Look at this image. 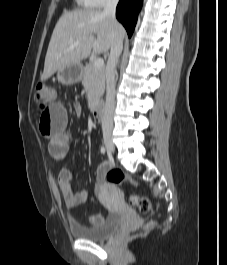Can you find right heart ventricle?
I'll list each match as a JSON object with an SVG mask.
<instances>
[{"label":"right heart ventricle","mask_w":227,"mask_h":265,"mask_svg":"<svg viewBox=\"0 0 227 265\" xmlns=\"http://www.w3.org/2000/svg\"><path fill=\"white\" fill-rule=\"evenodd\" d=\"M76 2L81 7H92L90 0H76Z\"/></svg>","instance_id":"1"}]
</instances>
